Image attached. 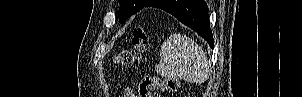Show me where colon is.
<instances>
[{
  "instance_id": "5ec220e1",
  "label": "colon",
  "mask_w": 302,
  "mask_h": 97,
  "mask_svg": "<svg viewBox=\"0 0 302 97\" xmlns=\"http://www.w3.org/2000/svg\"><path fill=\"white\" fill-rule=\"evenodd\" d=\"M148 37L143 27H135L132 35V46L130 50H122L116 55L115 62L118 65L130 66L141 60L142 55L147 49ZM179 82L173 79L165 81L157 77H144L139 86L140 97H158L157 91L170 90L178 88Z\"/></svg>"
}]
</instances>
